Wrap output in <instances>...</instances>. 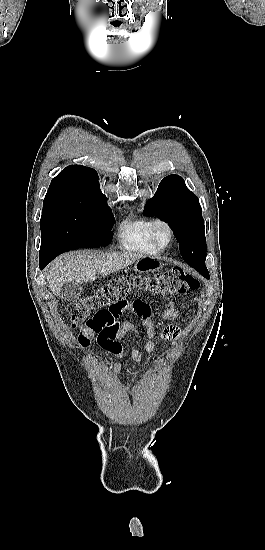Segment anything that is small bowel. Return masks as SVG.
<instances>
[{
  "mask_svg": "<svg viewBox=\"0 0 265 550\" xmlns=\"http://www.w3.org/2000/svg\"><path fill=\"white\" fill-rule=\"evenodd\" d=\"M144 309L147 311L143 318L145 335L147 338L144 344V350L147 354H151L155 349V342H154L155 329H154L153 320L150 315V308L147 303ZM127 311H132V309H128ZM164 317L168 320H175L178 318V311L176 310L173 303H169L166 306ZM115 324H116V331L114 335L111 337H106L104 335H101L99 333L92 331L88 327H83L77 338V341L80 347L87 348L90 345L91 340L94 337H97L100 340V343L104 345V347L114 355V358H115L113 363L114 372L119 373L122 367L121 358L123 356V343H122L123 338L128 333H133L137 337H140L141 334L138 328L132 323H124L120 325L116 320ZM161 337L164 340L175 339L178 337V331H176L174 328L166 329L163 332ZM131 357L136 363L143 362V357L138 346H134L132 348Z\"/></svg>",
  "mask_w": 265,
  "mask_h": 550,
  "instance_id": "obj_1",
  "label": "small bowel"
}]
</instances>
